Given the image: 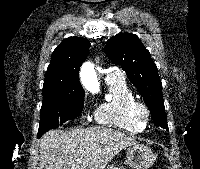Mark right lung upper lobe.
<instances>
[{
  "instance_id": "right-lung-upper-lobe-1",
  "label": "right lung upper lobe",
  "mask_w": 200,
  "mask_h": 169,
  "mask_svg": "<svg viewBox=\"0 0 200 169\" xmlns=\"http://www.w3.org/2000/svg\"><path fill=\"white\" fill-rule=\"evenodd\" d=\"M89 51L86 38L69 37L54 50L43 84V98L84 92L79 68Z\"/></svg>"
}]
</instances>
